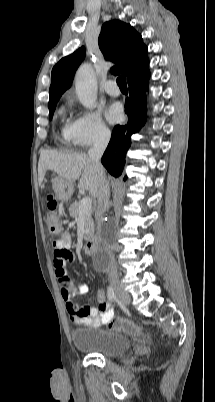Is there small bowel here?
<instances>
[{"label": "small bowel", "instance_id": "c3829d8e", "mask_svg": "<svg viewBox=\"0 0 215 402\" xmlns=\"http://www.w3.org/2000/svg\"><path fill=\"white\" fill-rule=\"evenodd\" d=\"M71 245V236L66 232L53 242L55 275L60 285L61 295L65 301L69 318L75 325L83 324L89 327L109 325L113 319L114 312L112 305L105 301L103 290L98 292V305L96 307L80 306L74 301L76 297L86 296L88 287L82 282L75 284L68 276L66 264L75 260Z\"/></svg>", "mask_w": 215, "mask_h": 402}]
</instances>
